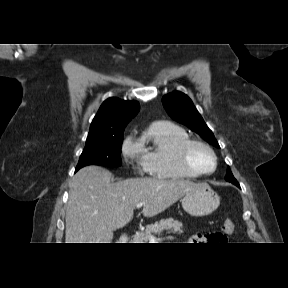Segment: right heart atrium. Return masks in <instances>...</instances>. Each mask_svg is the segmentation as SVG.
Returning <instances> with one entry per match:
<instances>
[{
  "label": "right heart atrium",
  "instance_id": "obj_1",
  "mask_svg": "<svg viewBox=\"0 0 288 288\" xmlns=\"http://www.w3.org/2000/svg\"><path fill=\"white\" fill-rule=\"evenodd\" d=\"M121 153L123 159L130 164L139 165L142 163V150L139 142L128 136L122 144Z\"/></svg>",
  "mask_w": 288,
  "mask_h": 288
}]
</instances>
